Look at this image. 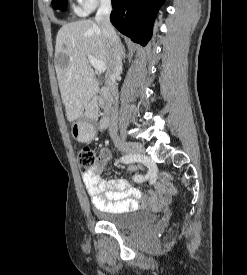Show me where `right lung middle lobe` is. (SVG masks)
Returning <instances> with one entry per match:
<instances>
[{
    "label": "right lung middle lobe",
    "instance_id": "dd1d6c3e",
    "mask_svg": "<svg viewBox=\"0 0 247 275\" xmlns=\"http://www.w3.org/2000/svg\"><path fill=\"white\" fill-rule=\"evenodd\" d=\"M67 0H52V6L54 9L65 10Z\"/></svg>",
    "mask_w": 247,
    "mask_h": 275
}]
</instances>
